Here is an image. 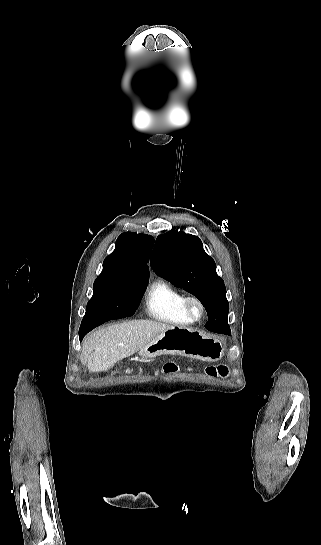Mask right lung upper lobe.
Listing matches in <instances>:
<instances>
[{
  "label": "right lung upper lobe",
  "instance_id": "right-lung-upper-lobe-1",
  "mask_svg": "<svg viewBox=\"0 0 321 545\" xmlns=\"http://www.w3.org/2000/svg\"><path fill=\"white\" fill-rule=\"evenodd\" d=\"M154 244L150 235L122 233L116 240L115 250L103 262L101 277L119 286L147 285V262Z\"/></svg>",
  "mask_w": 321,
  "mask_h": 545
}]
</instances>
